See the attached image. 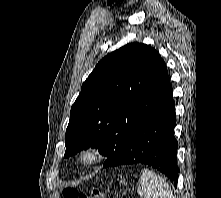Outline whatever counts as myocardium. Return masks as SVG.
<instances>
[{"mask_svg":"<svg viewBox=\"0 0 221 198\" xmlns=\"http://www.w3.org/2000/svg\"><path fill=\"white\" fill-rule=\"evenodd\" d=\"M102 157L103 149L99 145H87L82 147L78 152V160L85 167L96 165Z\"/></svg>","mask_w":221,"mask_h":198,"instance_id":"myocardium-1","label":"myocardium"}]
</instances>
